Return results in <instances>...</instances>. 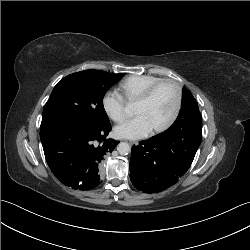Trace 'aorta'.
I'll list each match as a JSON object with an SVG mask.
<instances>
[{"instance_id": "1", "label": "aorta", "mask_w": 250, "mask_h": 250, "mask_svg": "<svg viewBox=\"0 0 250 250\" xmlns=\"http://www.w3.org/2000/svg\"><path fill=\"white\" fill-rule=\"evenodd\" d=\"M126 109H127V111H131V106L128 105L126 107ZM117 150H118L119 154H121V155H127V154L130 153L131 147H130V145L128 143L121 142V143L118 144Z\"/></svg>"}]
</instances>
